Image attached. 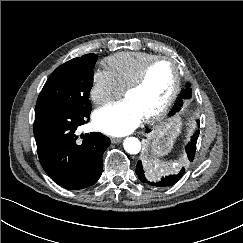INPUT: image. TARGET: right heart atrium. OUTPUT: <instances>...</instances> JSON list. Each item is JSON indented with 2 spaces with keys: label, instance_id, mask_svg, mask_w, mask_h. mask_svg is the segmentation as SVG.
I'll use <instances>...</instances> for the list:
<instances>
[{
  "label": "right heart atrium",
  "instance_id": "1",
  "mask_svg": "<svg viewBox=\"0 0 243 243\" xmlns=\"http://www.w3.org/2000/svg\"><path fill=\"white\" fill-rule=\"evenodd\" d=\"M123 89L106 69H98L92 75L90 98L97 105H103L119 97Z\"/></svg>",
  "mask_w": 243,
  "mask_h": 243
}]
</instances>
